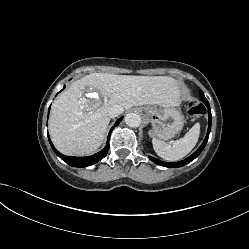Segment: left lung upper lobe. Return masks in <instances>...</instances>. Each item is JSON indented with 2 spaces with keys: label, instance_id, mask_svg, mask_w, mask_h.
Returning a JSON list of instances; mask_svg holds the SVG:
<instances>
[{
  "label": "left lung upper lobe",
  "instance_id": "left-lung-upper-lobe-1",
  "mask_svg": "<svg viewBox=\"0 0 249 249\" xmlns=\"http://www.w3.org/2000/svg\"><path fill=\"white\" fill-rule=\"evenodd\" d=\"M204 93L202 91H200V95H203Z\"/></svg>",
  "mask_w": 249,
  "mask_h": 249
}]
</instances>
